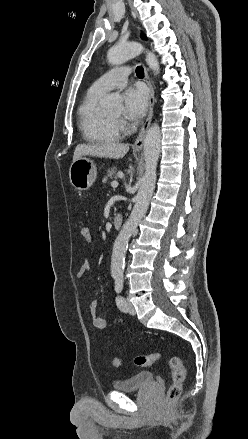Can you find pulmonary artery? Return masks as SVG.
Instances as JSON below:
<instances>
[{
    "label": "pulmonary artery",
    "mask_w": 248,
    "mask_h": 439,
    "mask_svg": "<svg viewBox=\"0 0 248 439\" xmlns=\"http://www.w3.org/2000/svg\"><path fill=\"white\" fill-rule=\"evenodd\" d=\"M130 69L127 67L115 68L99 77L90 87L96 93H106L114 88L123 87L127 82Z\"/></svg>",
    "instance_id": "e3ab8cb5"
}]
</instances>
